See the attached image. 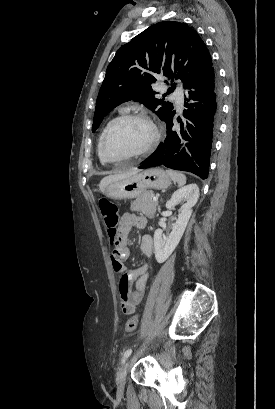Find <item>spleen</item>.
<instances>
[{
	"instance_id": "3e777b00",
	"label": "spleen",
	"mask_w": 275,
	"mask_h": 409,
	"mask_svg": "<svg viewBox=\"0 0 275 409\" xmlns=\"http://www.w3.org/2000/svg\"><path fill=\"white\" fill-rule=\"evenodd\" d=\"M167 174H169L170 178L174 180V182H178L179 186H183L186 182L185 174L182 172H176V170H166Z\"/></svg>"
}]
</instances>
